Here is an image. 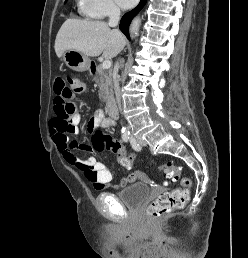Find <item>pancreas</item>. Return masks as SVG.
Wrapping results in <instances>:
<instances>
[{
	"instance_id": "obj_1",
	"label": "pancreas",
	"mask_w": 248,
	"mask_h": 258,
	"mask_svg": "<svg viewBox=\"0 0 248 258\" xmlns=\"http://www.w3.org/2000/svg\"><path fill=\"white\" fill-rule=\"evenodd\" d=\"M95 81L100 86L99 98L101 101H105L106 97L112 92L111 70L103 69L101 65H97Z\"/></svg>"
}]
</instances>
